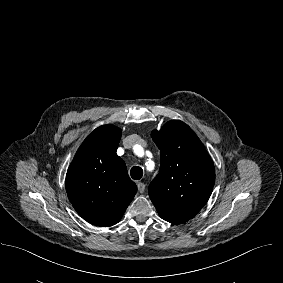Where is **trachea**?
Here are the masks:
<instances>
[{
	"label": "trachea",
	"mask_w": 283,
	"mask_h": 283,
	"mask_svg": "<svg viewBox=\"0 0 283 283\" xmlns=\"http://www.w3.org/2000/svg\"><path fill=\"white\" fill-rule=\"evenodd\" d=\"M131 177L134 180H140L143 176V169L139 166H134L130 171Z\"/></svg>",
	"instance_id": "trachea-1"
}]
</instances>
